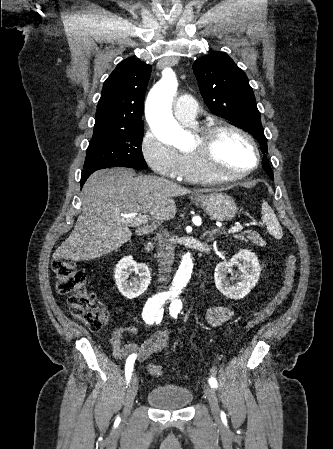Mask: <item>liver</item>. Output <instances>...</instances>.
I'll return each instance as SVG.
<instances>
[{"label":"liver","instance_id":"6515ba94","mask_svg":"<svg viewBox=\"0 0 333 449\" xmlns=\"http://www.w3.org/2000/svg\"><path fill=\"white\" fill-rule=\"evenodd\" d=\"M190 193V189L165 179L136 177L133 171L123 168L97 171L84 184L82 214L55 255L75 261L103 256L131 239L130 227L136 225L133 218L122 215H151V225L143 223L135 231L137 235L149 234L156 228V222L174 218L173 197Z\"/></svg>","mask_w":333,"mask_h":449}]
</instances>
